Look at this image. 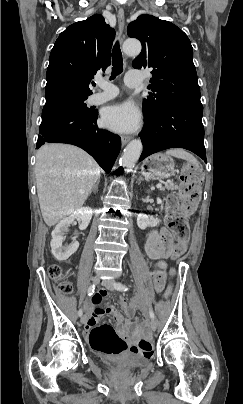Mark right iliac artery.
Instances as JSON below:
<instances>
[{
	"instance_id": "right-iliac-artery-1",
	"label": "right iliac artery",
	"mask_w": 243,
	"mask_h": 404,
	"mask_svg": "<svg viewBox=\"0 0 243 404\" xmlns=\"http://www.w3.org/2000/svg\"><path fill=\"white\" fill-rule=\"evenodd\" d=\"M94 290H95V285L93 284L88 288V295L91 296L94 293ZM82 314H83L82 309H80L78 312V315L82 316Z\"/></svg>"
}]
</instances>
